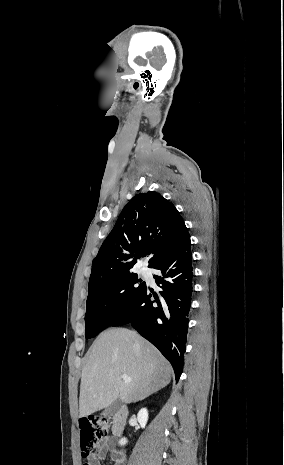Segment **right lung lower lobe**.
Here are the masks:
<instances>
[{"instance_id":"obj_1","label":"right lung lower lobe","mask_w":284,"mask_h":465,"mask_svg":"<svg viewBox=\"0 0 284 465\" xmlns=\"http://www.w3.org/2000/svg\"><path fill=\"white\" fill-rule=\"evenodd\" d=\"M153 269L161 271L160 275H154L156 284L162 289L160 298L146 285L110 326L130 323L171 363L178 381L184 366L194 292L190 237Z\"/></svg>"}]
</instances>
